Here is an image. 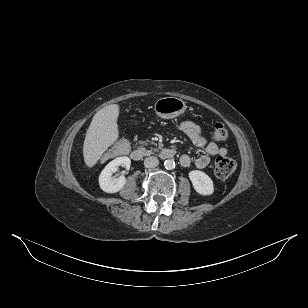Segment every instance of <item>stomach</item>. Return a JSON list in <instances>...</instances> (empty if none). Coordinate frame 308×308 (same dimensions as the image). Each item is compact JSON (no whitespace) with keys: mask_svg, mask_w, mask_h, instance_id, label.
<instances>
[{"mask_svg":"<svg viewBox=\"0 0 308 308\" xmlns=\"http://www.w3.org/2000/svg\"><path fill=\"white\" fill-rule=\"evenodd\" d=\"M186 103L177 97H164L155 102L154 110L158 117L172 119L186 111Z\"/></svg>","mask_w":308,"mask_h":308,"instance_id":"stomach-1","label":"stomach"}]
</instances>
